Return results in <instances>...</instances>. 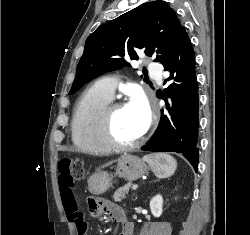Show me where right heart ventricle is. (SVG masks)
<instances>
[{
    "label": "right heart ventricle",
    "instance_id": "e07e8e85",
    "mask_svg": "<svg viewBox=\"0 0 250 235\" xmlns=\"http://www.w3.org/2000/svg\"><path fill=\"white\" fill-rule=\"evenodd\" d=\"M111 100V97L93 85L77 101L72 116L71 134L73 144L79 152L101 155L111 150L100 135L101 113Z\"/></svg>",
    "mask_w": 250,
    "mask_h": 235
}]
</instances>
